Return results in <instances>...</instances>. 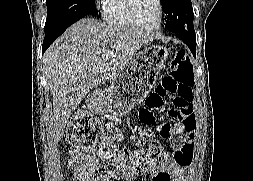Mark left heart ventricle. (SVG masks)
<instances>
[{
  "label": "left heart ventricle",
  "instance_id": "b2bd125f",
  "mask_svg": "<svg viewBox=\"0 0 253 181\" xmlns=\"http://www.w3.org/2000/svg\"><path fill=\"white\" fill-rule=\"evenodd\" d=\"M135 13L138 20L146 26H154L158 22L159 8L156 0H136Z\"/></svg>",
  "mask_w": 253,
  "mask_h": 181
}]
</instances>
